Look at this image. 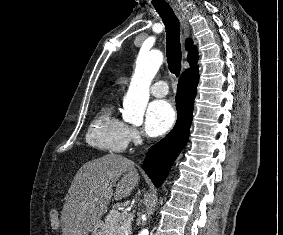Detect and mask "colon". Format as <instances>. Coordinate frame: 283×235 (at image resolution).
<instances>
[{
	"label": "colon",
	"mask_w": 283,
	"mask_h": 235,
	"mask_svg": "<svg viewBox=\"0 0 283 235\" xmlns=\"http://www.w3.org/2000/svg\"><path fill=\"white\" fill-rule=\"evenodd\" d=\"M51 220L57 221L58 220V212L56 210H52L50 213Z\"/></svg>",
	"instance_id": "1"
}]
</instances>
